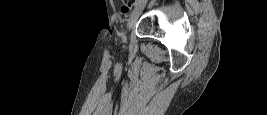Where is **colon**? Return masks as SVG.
Returning <instances> with one entry per match:
<instances>
[{"instance_id": "obj_1", "label": "colon", "mask_w": 267, "mask_h": 115, "mask_svg": "<svg viewBox=\"0 0 267 115\" xmlns=\"http://www.w3.org/2000/svg\"><path fill=\"white\" fill-rule=\"evenodd\" d=\"M119 13L122 18H127L130 15V7L127 4L121 5Z\"/></svg>"}]
</instances>
